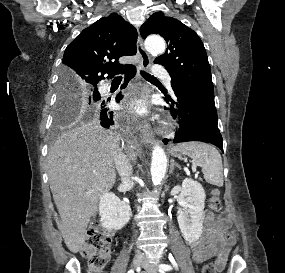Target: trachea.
Wrapping results in <instances>:
<instances>
[{
    "label": "trachea",
    "instance_id": "trachea-1",
    "mask_svg": "<svg viewBox=\"0 0 285 273\" xmlns=\"http://www.w3.org/2000/svg\"><path fill=\"white\" fill-rule=\"evenodd\" d=\"M141 75L146 79V80H157L155 77L149 75L148 73L141 71ZM121 76L116 77L115 79H121Z\"/></svg>",
    "mask_w": 285,
    "mask_h": 273
}]
</instances>
